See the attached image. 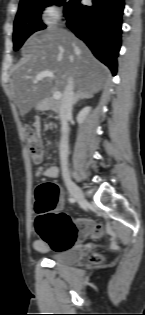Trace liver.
Segmentation results:
<instances>
[{
	"mask_svg": "<svg viewBox=\"0 0 145 315\" xmlns=\"http://www.w3.org/2000/svg\"><path fill=\"white\" fill-rule=\"evenodd\" d=\"M42 71H51L55 77L35 82ZM70 77L77 93L93 95L104 87L109 70L67 30L51 28L32 35L13 71L11 96L20 115L27 114L54 92L64 91Z\"/></svg>",
	"mask_w": 145,
	"mask_h": 315,
	"instance_id": "obj_1",
	"label": "liver"
}]
</instances>
